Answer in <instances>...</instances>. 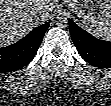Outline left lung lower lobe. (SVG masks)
Wrapping results in <instances>:
<instances>
[{"label":"left lung lower lobe","mask_w":111,"mask_h":106,"mask_svg":"<svg viewBox=\"0 0 111 106\" xmlns=\"http://www.w3.org/2000/svg\"><path fill=\"white\" fill-rule=\"evenodd\" d=\"M68 21L72 40L83 59L99 68H111V42L99 40Z\"/></svg>","instance_id":"0a47b994"}]
</instances>
